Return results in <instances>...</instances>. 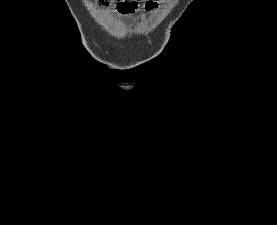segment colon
Masks as SVG:
<instances>
[{
  "mask_svg": "<svg viewBox=\"0 0 277 225\" xmlns=\"http://www.w3.org/2000/svg\"><path fill=\"white\" fill-rule=\"evenodd\" d=\"M94 4L109 7L116 6L120 13H133L143 6V0H92Z\"/></svg>",
  "mask_w": 277,
  "mask_h": 225,
  "instance_id": "5ec220e1",
  "label": "colon"
}]
</instances>
